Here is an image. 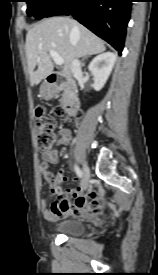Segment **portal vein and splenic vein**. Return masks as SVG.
Returning <instances> with one entry per match:
<instances>
[{
    "mask_svg": "<svg viewBox=\"0 0 158 275\" xmlns=\"http://www.w3.org/2000/svg\"><path fill=\"white\" fill-rule=\"evenodd\" d=\"M49 53H50L51 58L54 60V62L57 65H63L64 60L56 51L51 49Z\"/></svg>",
    "mask_w": 158,
    "mask_h": 275,
    "instance_id": "1",
    "label": "portal vein and splenic vein"
}]
</instances>
